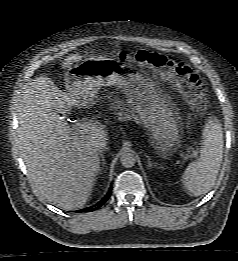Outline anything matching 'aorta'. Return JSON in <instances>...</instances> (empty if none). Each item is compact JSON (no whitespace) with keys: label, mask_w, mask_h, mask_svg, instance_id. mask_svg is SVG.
<instances>
[{"label":"aorta","mask_w":238,"mask_h":261,"mask_svg":"<svg viewBox=\"0 0 238 261\" xmlns=\"http://www.w3.org/2000/svg\"><path fill=\"white\" fill-rule=\"evenodd\" d=\"M120 162L125 168H131L136 163V157L133 153L126 152L121 155Z\"/></svg>","instance_id":"762f6f07"}]
</instances>
